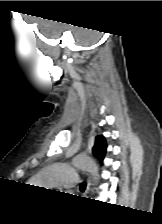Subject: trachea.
<instances>
[{
  "label": "trachea",
  "instance_id": "1",
  "mask_svg": "<svg viewBox=\"0 0 162 224\" xmlns=\"http://www.w3.org/2000/svg\"><path fill=\"white\" fill-rule=\"evenodd\" d=\"M85 188H86V184L85 183H82L81 186H80V189L81 190H85Z\"/></svg>",
  "mask_w": 162,
  "mask_h": 224
}]
</instances>
